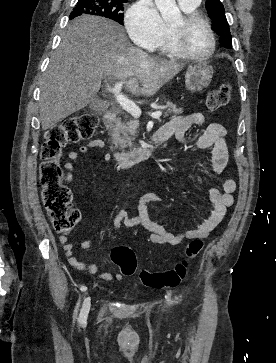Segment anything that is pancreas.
Returning a JSON list of instances; mask_svg holds the SVG:
<instances>
[{
  "mask_svg": "<svg viewBox=\"0 0 276 363\" xmlns=\"http://www.w3.org/2000/svg\"><path fill=\"white\" fill-rule=\"evenodd\" d=\"M166 108L168 109V114H166V116L172 114V118L183 113L182 108H178L170 101L166 103ZM106 127L109 131L114 148L120 147L122 150L127 147L132 148L133 136H135L138 127L137 120L129 119L128 121L122 122V120L118 118L114 122L108 123Z\"/></svg>",
  "mask_w": 276,
  "mask_h": 363,
  "instance_id": "1",
  "label": "pancreas"
}]
</instances>
